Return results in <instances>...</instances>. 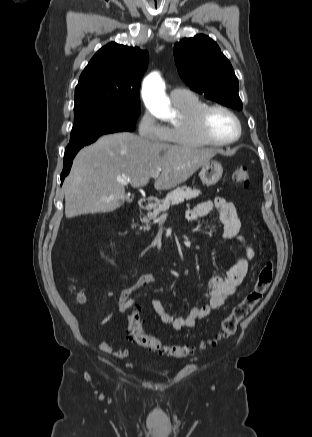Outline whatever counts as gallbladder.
<instances>
[{"label": "gallbladder", "instance_id": "obj_1", "mask_svg": "<svg viewBox=\"0 0 312 437\" xmlns=\"http://www.w3.org/2000/svg\"><path fill=\"white\" fill-rule=\"evenodd\" d=\"M132 199H133V197H130V196H127V197H126V200L129 201V202H131Z\"/></svg>", "mask_w": 312, "mask_h": 437}]
</instances>
